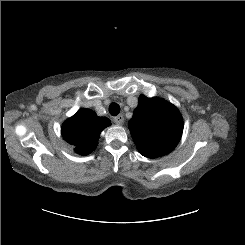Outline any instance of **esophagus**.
I'll use <instances>...</instances> for the list:
<instances>
[{
	"label": "esophagus",
	"mask_w": 245,
	"mask_h": 245,
	"mask_svg": "<svg viewBox=\"0 0 245 245\" xmlns=\"http://www.w3.org/2000/svg\"><path fill=\"white\" fill-rule=\"evenodd\" d=\"M113 121L117 125H122L124 123V117H123V115L120 114V115L114 117Z\"/></svg>",
	"instance_id": "esophagus-1"
}]
</instances>
